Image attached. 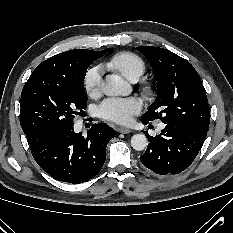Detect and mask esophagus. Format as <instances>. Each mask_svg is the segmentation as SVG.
<instances>
[{
  "label": "esophagus",
  "instance_id": "obj_1",
  "mask_svg": "<svg viewBox=\"0 0 233 233\" xmlns=\"http://www.w3.org/2000/svg\"><path fill=\"white\" fill-rule=\"evenodd\" d=\"M118 132L122 133V134H128V133L131 132V130L128 129V128L121 127V128L118 129Z\"/></svg>",
  "mask_w": 233,
  "mask_h": 233
}]
</instances>
